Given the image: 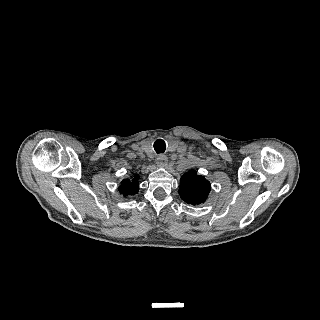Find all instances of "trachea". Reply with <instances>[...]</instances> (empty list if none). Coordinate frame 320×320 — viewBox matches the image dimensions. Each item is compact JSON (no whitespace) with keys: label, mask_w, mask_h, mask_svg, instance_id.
Instances as JSON below:
<instances>
[{"label":"trachea","mask_w":320,"mask_h":320,"mask_svg":"<svg viewBox=\"0 0 320 320\" xmlns=\"http://www.w3.org/2000/svg\"><path fill=\"white\" fill-rule=\"evenodd\" d=\"M154 149H155L156 153H158V154L164 153L165 150H166V145H165L164 140H162V139H157V140L154 142Z\"/></svg>","instance_id":"3493384b"}]
</instances>
